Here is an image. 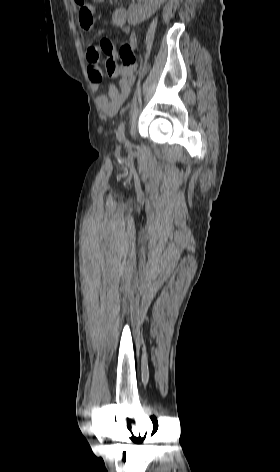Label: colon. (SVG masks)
<instances>
[{"label":"colon","instance_id":"colon-1","mask_svg":"<svg viewBox=\"0 0 280 472\" xmlns=\"http://www.w3.org/2000/svg\"><path fill=\"white\" fill-rule=\"evenodd\" d=\"M119 57L122 61L123 65L131 66L136 64V58L134 54V46L129 41L125 42L120 50H119ZM106 72L110 77H117L118 76V65L115 61L109 60L105 62Z\"/></svg>","mask_w":280,"mask_h":472}]
</instances>
